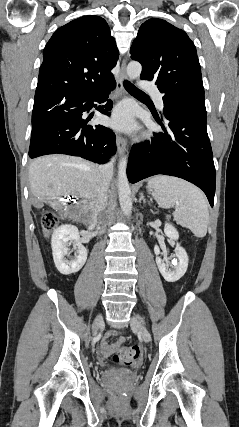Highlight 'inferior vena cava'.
<instances>
[{"mask_svg":"<svg viewBox=\"0 0 239 427\" xmlns=\"http://www.w3.org/2000/svg\"><path fill=\"white\" fill-rule=\"evenodd\" d=\"M113 174V159L107 164L101 165L99 167V188L95 201V218H101L105 208L107 207V191L109 188L110 179Z\"/></svg>","mask_w":239,"mask_h":427,"instance_id":"obj_1","label":"inferior vena cava"}]
</instances>
